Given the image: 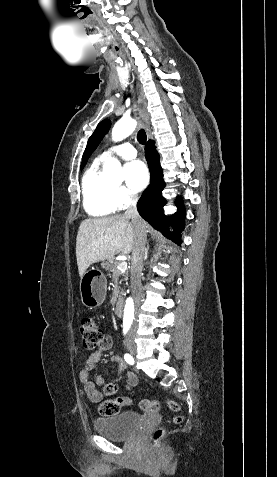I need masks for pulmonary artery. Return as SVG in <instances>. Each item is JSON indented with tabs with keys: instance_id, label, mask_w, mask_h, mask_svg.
<instances>
[{
	"instance_id": "pulmonary-artery-1",
	"label": "pulmonary artery",
	"mask_w": 277,
	"mask_h": 477,
	"mask_svg": "<svg viewBox=\"0 0 277 477\" xmlns=\"http://www.w3.org/2000/svg\"><path fill=\"white\" fill-rule=\"evenodd\" d=\"M117 155L123 159H133L136 157L137 153L135 148L129 143H123L115 147H111L105 150L99 157V160L105 161L111 156Z\"/></svg>"
}]
</instances>
